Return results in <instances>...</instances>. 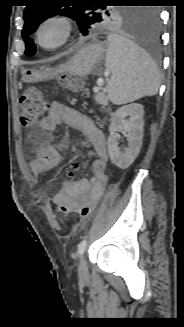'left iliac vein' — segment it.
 Listing matches in <instances>:
<instances>
[{"label": "left iliac vein", "instance_id": "1", "mask_svg": "<svg viewBox=\"0 0 184 327\" xmlns=\"http://www.w3.org/2000/svg\"><path fill=\"white\" fill-rule=\"evenodd\" d=\"M78 273L80 278H85L88 275V268L84 258H81L79 261Z\"/></svg>", "mask_w": 184, "mask_h": 327}]
</instances>
